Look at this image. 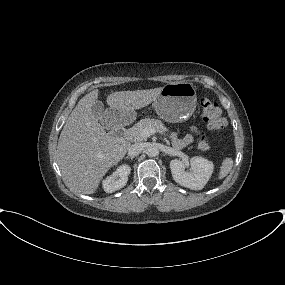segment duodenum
I'll list each match as a JSON object with an SVG mask.
<instances>
[{
    "label": "duodenum",
    "instance_id": "410a0bca",
    "mask_svg": "<svg viewBox=\"0 0 285 285\" xmlns=\"http://www.w3.org/2000/svg\"><path fill=\"white\" fill-rule=\"evenodd\" d=\"M112 131L116 134H118L119 136H122L123 134V127L117 123H114L112 126Z\"/></svg>",
    "mask_w": 285,
    "mask_h": 285
}]
</instances>
